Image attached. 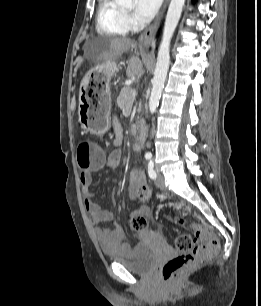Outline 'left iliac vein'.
<instances>
[{
    "label": "left iliac vein",
    "mask_w": 261,
    "mask_h": 306,
    "mask_svg": "<svg viewBox=\"0 0 261 306\" xmlns=\"http://www.w3.org/2000/svg\"><path fill=\"white\" fill-rule=\"evenodd\" d=\"M155 184L160 190H165L166 189L164 176L160 172L157 173V178L155 180Z\"/></svg>",
    "instance_id": "4c4485c4"
}]
</instances>
